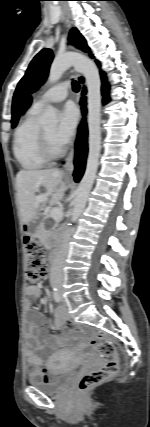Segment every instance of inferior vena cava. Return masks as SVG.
<instances>
[{
    "instance_id": "inferior-vena-cava-1",
    "label": "inferior vena cava",
    "mask_w": 150,
    "mask_h": 427,
    "mask_svg": "<svg viewBox=\"0 0 150 427\" xmlns=\"http://www.w3.org/2000/svg\"><path fill=\"white\" fill-rule=\"evenodd\" d=\"M71 231L67 230L62 242L61 250L58 252L50 270V283L52 286H59L63 283V267L68 253V242Z\"/></svg>"
}]
</instances>
